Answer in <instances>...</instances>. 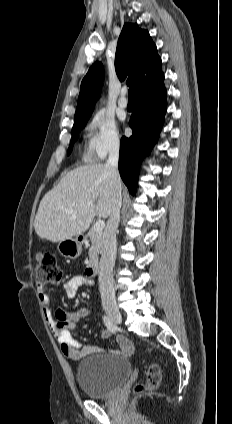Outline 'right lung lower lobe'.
I'll return each mask as SVG.
<instances>
[{
	"label": "right lung lower lobe",
	"instance_id": "98d812e1",
	"mask_svg": "<svg viewBox=\"0 0 232 424\" xmlns=\"http://www.w3.org/2000/svg\"><path fill=\"white\" fill-rule=\"evenodd\" d=\"M136 107L129 125L133 134L120 142L119 172L131 194L137 187L140 164L155 144L167 108L164 74L149 88L135 94Z\"/></svg>",
	"mask_w": 232,
	"mask_h": 424
}]
</instances>
